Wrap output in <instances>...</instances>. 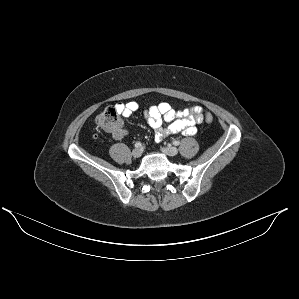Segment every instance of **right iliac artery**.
Wrapping results in <instances>:
<instances>
[{"instance_id": "1", "label": "right iliac artery", "mask_w": 299, "mask_h": 299, "mask_svg": "<svg viewBox=\"0 0 299 299\" xmlns=\"http://www.w3.org/2000/svg\"><path fill=\"white\" fill-rule=\"evenodd\" d=\"M136 148H140V147H142V144L140 143V142H137V143H135V145H134Z\"/></svg>"}]
</instances>
